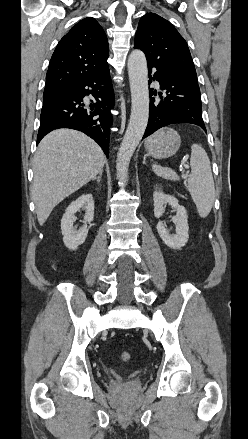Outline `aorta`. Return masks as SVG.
<instances>
[{
  "instance_id": "aorta-1",
  "label": "aorta",
  "mask_w": 248,
  "mask_h": 439,
  "mask_svg": "<svg viewBox=\"0 0 248 439\" xmlns=\"http://www.w3.org/2000/svg\"><path fill=\"white\" fill-rule=\"evenodd\" d=\"M128 74L131 89V115L116 160L117 178H128L131 157L145 132L149 117L148 69L145 54L133 50L128 57Z\"/></svg>"
}]
</instances>
